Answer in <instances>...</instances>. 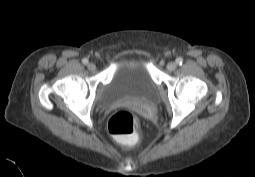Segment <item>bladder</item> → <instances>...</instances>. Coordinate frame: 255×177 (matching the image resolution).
I'll return each mask as SVG.
<instances>
[{
    "label": "bladder",
    "instance_id": "obj_1",
    "mask_svg": "<svg viewBox=\"0 0 255 177\" xmlns=\"http://www.w3.org/2000/svg\"><path fill=\"white\" fill-rule=\"evenodd\" d=\"M136 100L155 104L159 100V86L142 54H128L121 58L109 82L97 98V105L107 108L116 103Z\"/></svg>",
    "mask_w": 255,
    "mask_h": 177
}]
</instances>
